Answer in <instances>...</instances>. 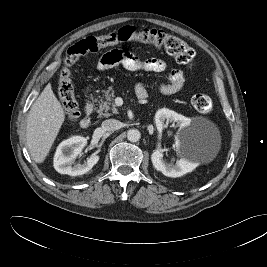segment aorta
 Instances as JSON below:
<instances>
[{
  "label": "aorta",
  "instance_id": "1",
  "mask_svg": "<svg viewBox=\"0 0 267 267\" xmlns=\"http://www.w3.org/2000/svg\"><path fill=\"white\" fill-rule=\"evenodd\" d=\"M140 137H141V134H140L139 130H137V129H130L127 132V138L130 142H137V141H139Z\"/></svg>",
  "mask_w": 267,
  "mask_h": 267
}]
</instances>
